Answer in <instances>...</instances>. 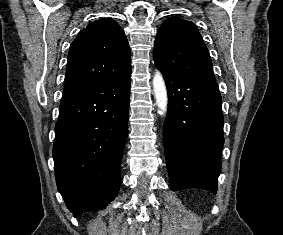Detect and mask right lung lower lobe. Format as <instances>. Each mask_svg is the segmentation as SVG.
<instances>
[{
	"mask_svg": "<svg viewBox=\"0 0 283 235\" xmlns=\"http://www.w3.org/2000/svg\"><path fill=\"white\" fill-rule=\"evenodd\" d=\"M131 72L63 95L53 158L59 192L77 217L103 209L121 186Z\"/></svg>",
	"mask_w": 283,
	"mask_h": 235,
	"instance_id": "obj_1",
	"label": "right lung lower lobe"
}]
</instances>
